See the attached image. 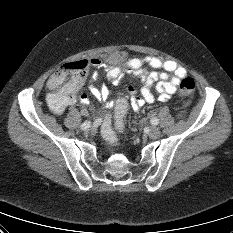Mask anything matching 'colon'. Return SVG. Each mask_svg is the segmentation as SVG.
I'll return each instance as SVG.
<instances>
[{
	"instance_id": "colon-1",
	"label": "colon",
	"mask_w": 233,
	"mask_h": 233,
	"mask_svg": "<svg viewBox=\"0 0 233 233\" xmlns=\"http://www.w3.org/2000/svg\"><path fill=\"white\" fill-rule=\"evenodd\" d=\"M89 65L87 60H79L64 64L52 74L53 84L68 90L77 88L84 81ZM195 87V81L192 78H183L179 83V94L181 96H189L195 91ZM127 108V99L125 96H119L113 103L112 113H109L103 120V137L111 146H117V133H122L124 131Z\"/></svg>"
}]
</instances>
